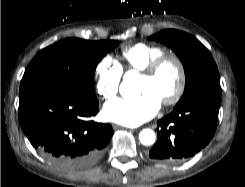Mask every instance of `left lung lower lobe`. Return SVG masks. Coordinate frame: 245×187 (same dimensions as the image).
Instances as JSON below:
<instances>
[{
  "label": "left lung lower lobe",
  "instance_id": "1",
  "mask_svg": "<svg viewBox=\"0 0 245 187\" xmlns=\"http://www.w3.org/2000/svg\"><path fill=\"white\" fill-rule=\"evenodd\" d=\"M220 103V88H214L175 106L157 122L158 139L149 152V159L172 165L199 152L214 135Z\"/></svg>",
  "mask_w": 245,
  "mask_h": 187
}]
</instances>
